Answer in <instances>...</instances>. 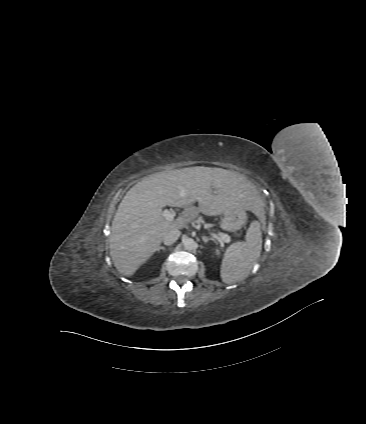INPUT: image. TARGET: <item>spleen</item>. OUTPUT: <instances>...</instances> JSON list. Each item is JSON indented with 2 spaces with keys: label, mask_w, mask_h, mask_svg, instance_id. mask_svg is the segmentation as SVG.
<instances>
[{
  "label": "spleen",
  "mask_w": 366,
  "mask_h": 424,
  "mask_svg": "<svg viewBox=\"0 0 366 424\" xmlns=\"http://www.w3.org/2000/svg\"><path fill=\"white\" fill-rule=\"evenodd\" d=\"M262 219L263 215H258ZM261 225L253 221L246 231L245 242L231 244L225 251L220 268V277L226 284L244 280L259 258L262 250Z\"/></svg>",
  "instance_id": "3e777b00"
}]
</instances>
